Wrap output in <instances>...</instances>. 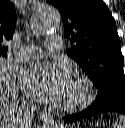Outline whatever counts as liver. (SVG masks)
<instances>
[{
    "mask_svg": "<svg viewBox=\"0 0 125 128\" xmlns=\"http://www.w3.org/2000/svg\"><path fill=\"white\" fill-rule=\"evenodd\" d=\"M19 115L15 83L0 68V128H20Z\"/></svg>",
    "mask_w": 125,
    "mask_h": 128,
    "instance_id": "1",
    "label": "liver"
}]
</instances>
